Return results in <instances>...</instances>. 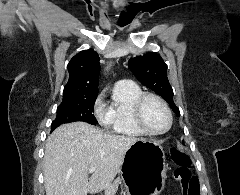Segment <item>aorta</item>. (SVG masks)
I'll list each match as a JSON object with an SVG mask.
<instances>
[{
	"instance_id": "aorta-1",
	"label": "aorta",
	"mask_w": 240,
	"mask_h": 195,
	"mask_svg": "<svg viewBox=\"0 0 240 195\" xmlns=\"http://www.w3.org/2000/svg\"><path fill=\"white\" fill-rule=\"evenodd\" d=\"M111 68V64H109V66H107L106 70H110Z\"/></svg>"
}]
</instances>
